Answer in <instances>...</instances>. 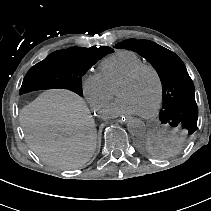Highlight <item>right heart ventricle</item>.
<instances>
[{
	"label": "right heart ventricle",
	"mask_w": 211,
	"mask_h": 211,
	"mask_svg": "<svg viewBox=\"0 0 211 211\" xmlns=\"http://www.w3.org/2000/svg\"><path fill=\"white\" fill-rule=\"evenodd\" d=\"M144 63V60L134 52L118 51L110 57L104 59L100 65V74L108 83L114 84L131 69Z\"/></svg>",
	"instance_id": "right-heart-ventricle-1"
}]
</instances>
